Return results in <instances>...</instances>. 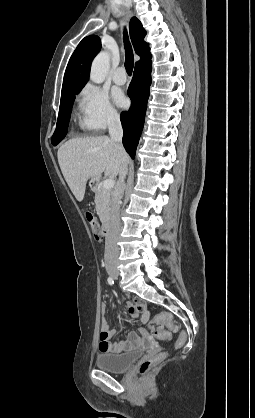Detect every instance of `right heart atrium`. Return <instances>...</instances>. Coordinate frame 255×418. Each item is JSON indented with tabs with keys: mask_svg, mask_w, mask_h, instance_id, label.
I'll return each mask as SVG.
<instances>
[{
	"mask_svg": "<svg viewBox=\"0 0 255 418\" xmlns=\"http://www.w3.org/2000/svg\"><path fill=\"white\" fill-rule=\"evenodd\" d=\"M80 126L92 132L104 130L119 120V113L108 93L100 87L87 84L79 96Z\"/></svg>",
	"mask_w": 255,
	"mask_h": 418,
	"instance_id": "d8ad5b80",
	"label": "right heart atrium"
}]
</instances>
